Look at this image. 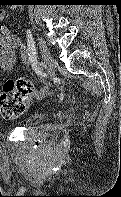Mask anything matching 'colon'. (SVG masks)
Masks as SVG:
<instances>
[{"instance_id": "colon-1", "label": "colon", "mask_w": 121, "mask_h": 197, "mask_svg": "<svg viewBox=\"0 0 121 197\" xmlns=\"http://www.w3.org/2000/svg\"><path fill=\"white\" fill-rule=\"evenodd\" d=\"M34 91L27 79L8 80L0 91V114L7 120H14L26 111L27 101Z\"/></svg>"}]
</instances>
